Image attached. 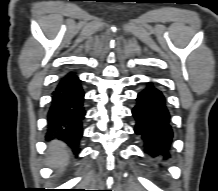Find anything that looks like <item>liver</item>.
<instances>
[{"label":"liver","instance_id":"obj_1","mask_svg":"<svg viewBox=\"0 0 218 191\" xmlns=\"http://www.w3.org/2000/svg\"><path fill=\"white\" fill-rule=\"evenodd\" d=\"M69 157L70 151L63 142L57 140L51 142L47 157L49 166L63 170L68 165Z\"/></svg>","mask_w":218,"mask_h":191}]
</instances>
